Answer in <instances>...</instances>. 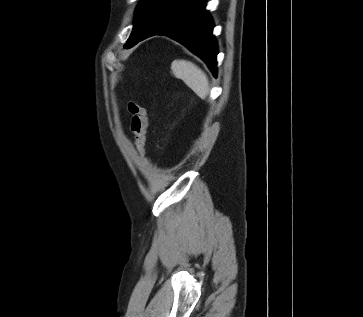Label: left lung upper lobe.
I'll list each match as a JSON object with an SVG mask.
<instances>
[{
  "mask_svg": "<svg viewBox=\"0 0 363 317\" xmlns=\"http://www.w3.org/2000/svg\"><path fill=\"white\" fill-rule=\"evenodd\" d=\"M157 2L158 0H141L136 9L134 27L125 44L126 47L129 48L135 45L136 41L143 35Z\"/></svg>",
  "mask_w": 363,
  "mask_h": 317,
  "instance_id": "obj_1",
  "label": "left lung upper lobe"
}]
</instances>
